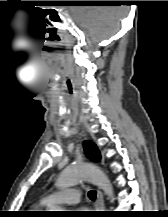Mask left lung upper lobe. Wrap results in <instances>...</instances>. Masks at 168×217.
<instances>
[{"label": "left lung upper lobe", "mask_w": 168, "mask_h": 217, "mask_svg": "<svg viewBox=\"0 0 168 217\" xmlns=\"http://www.w3.org/2000/svg\"><path fill=\"white\" fill-rule=\"evenodd\" d=\"M84 151L86 156L92 161L100 160V153L97 146L91 141L84 142Z\"/></svg>", "instance_id": "1"}]
</instances>
